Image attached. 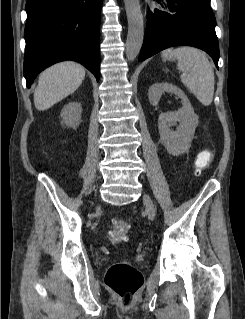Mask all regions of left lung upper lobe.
I'll list each match as a JSON object with an SVG mask.
<instances>
[{"label": "left lung upper lobe", "instance_id": "5c2ea615", "mask_svg": "<svg viewBox=\"0 0 245 319\" xmlns=\"http://www.w3.org/2000/svg\"><path fill=\"white\" fill-rule=\"evenodd\" d=\"M202 1L207 2V3H210V0H202Z\"/></svg>", "mask_w": 245, "mask_h": 319}]
</instances>
